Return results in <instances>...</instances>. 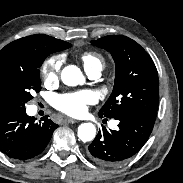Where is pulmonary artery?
<instances>
[{
  "instance_id": "e3ab8cb5",
  "label": "pulmonary artery",
  "mask_w": 183,
  "mask_h": 183,
  "mask_svg": "<svg viewBox=\"0 0 183 183\" xmlns=\"http://www.w3.org/2000/svg\"><path fill=\"white\" fill-rule=\"evenodd\" d=\"M101 70H102V69H100V68H96V69L87 71V74L89 75L90 78H92V79H97V78H99L100 75H101Z\"/></svg>"
}]
</instances>
